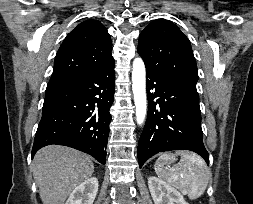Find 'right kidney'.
<instances>
[{
  "instance_id": "obj_1",
  "label": "right kidney",
  "mask_w": 253,
  "mask_h": 204,
  "mask_svg": "<svg viewBox=\"0 0 253 204\" xmlns=\"http://www.w3.org/2000/svg\"><path fill=\"white\" fill-rule=\"evenodd\" d=\"M98 186L96 177L85 180L72 191L65 204H93Z\"/></svg>"
}]
</instances>
